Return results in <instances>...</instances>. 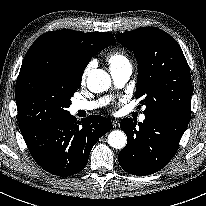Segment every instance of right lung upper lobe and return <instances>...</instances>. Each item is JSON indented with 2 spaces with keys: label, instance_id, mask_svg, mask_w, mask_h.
I'll return each instance as SVG.
<instances>
[{
  "label": "right lung upper lobe",
  "instance_id": "1",
  "mask_svg": "<svg viewBox=\"0 0 206 206\" xmlns=\"http://www.w3.org/2000/svg\"><path fill=\"white\" fill-rule=\"evenodd\" d=\"M115 44L114 36L108 32L84 33L67 29L46 32L31 45L20 71L25 67L31 54L45 45L55 46L64 51L72 64L83 71L94 55L105 47Z\"/></svg>",
  "mask_w": 206,
  "mask_h": 206
}]
</instances>
